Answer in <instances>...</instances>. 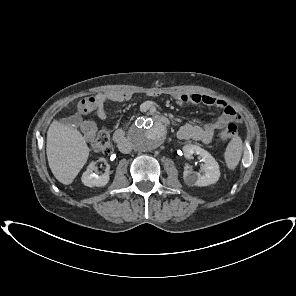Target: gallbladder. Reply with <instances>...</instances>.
I'll return each instance as SVG.
<instances>
[{"label": "gallbladder", "instance_id": "bac80fb5", "mask_svg": "<svg viewBox=\"0 0 296 296\" xmlns=\"http://www.w3.org/2000/svg\"><path fill=\"white\" fill-rule=\"evenodd\" d=\"M61 123L66 124V125H71V126H79L82 122V118L80 115L75 114L71 117L68 118H62Z\"/></svg>", "mask_w": 296, "mask_h": 296}]
</instances>
